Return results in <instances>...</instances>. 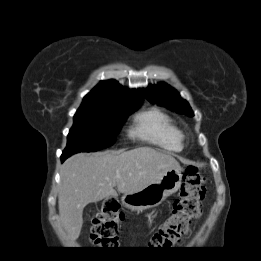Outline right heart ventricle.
Listing matches in <instances>:
<instances>
[{"instance_id": "e07e8e85", "label": "right heart ventricle", "mask_w": 261, "mask_h": 261, "mask_svg": "<svg viewBox=\"0 0 261 261\" xmlns=\"http://www.w3.org/2000/svg\"><path fill=\"white\" fill-rule=\"evenodd\" d=\"M133 134L165 150L178 152L184 145V135L173 119L153 108L136 116Z\"/></svg>"}]
</instances>
